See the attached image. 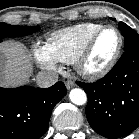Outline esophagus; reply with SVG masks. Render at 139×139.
I'll use <instances>...</instances> for the list:
<instances>
[{
    "instance_id": "1",
    "label": "esophagus",
    "mask_w": 139,
    "mask_h": 139,
    "mask_svg": "<svg viewBox=\"0 0 139 139\" xmlns=\"http://www.w3.org/2000/svg\"><path fill=\"white\" fill-rule=\"evenodd\" d=\"M65 85H66L67 89H71V88H73L75 86V82L73 80H67L65 82Z\"/></svg>"
}]
</instances>
